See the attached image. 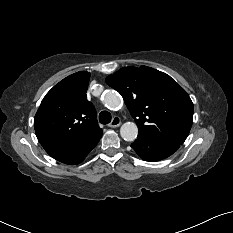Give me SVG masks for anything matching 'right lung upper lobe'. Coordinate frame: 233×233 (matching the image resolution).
<instances>
[{
    "mask_svg": "<svg viewBox=\"0 0 233 233\" xmlns=\"http://www.w3.org/2000/svg\"><path fill=\"white\" fill-rule=\"evenodd\" d=\"M90 73H74L56 84L44 97L34 118L38 141L76 144L102 132L86 92Z\"/></svg>",
    "mask_w": 233,
    "mask_h": 233,
    "instance_id": "right-lung-upper-lobe-1",
    "label": "right lung upper lobe"
}]
</instances>
